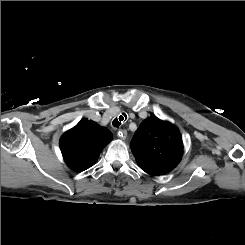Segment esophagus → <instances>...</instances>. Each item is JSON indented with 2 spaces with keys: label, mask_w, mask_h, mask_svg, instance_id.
<instances>
[{
  "label": "esophagus",
  "mask_w": 245,
  "mask_h": 245,
  "mask_svg": "<svg viewBox=\"0 0 245 245\" xmlns=\"http://www.w3.org/2000/svg\"><path fill=\"white\" fill-rule=\"evenodd\" d=\"M117 136L121 139V140H125L127 137V131L125 129H121L118 131Z\"/></svg>",
  "instance_id": "34e87169"
}]
</instances>
